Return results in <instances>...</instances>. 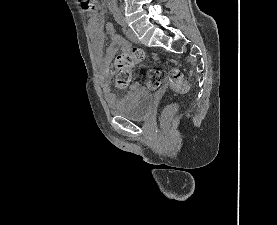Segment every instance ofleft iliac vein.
I'll return each mask as SVG.
<instances>
[{"label": "left iliac vein", "mask_w": 277, "mask_h": 225, "mask_svg": "<svg viewBox=\"0 0 277 225\" xmlns=\"http://www.w3.org/2000/svg\"><path fill=\"white\" fill-rule=\"evenodd\" d=\"M126 35L131 41H133L135 43L138 42V38H137L136 34L133 32L132 29H127L126 30Z\"/></svg>", "instance_id": "obj_1"}]
</instances>
